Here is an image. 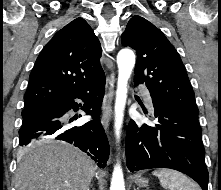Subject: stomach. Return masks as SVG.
<instances>
[{
  "instance_id": "0dacf381",
  "label": "stomach",
  "mask_w": 221,
  "mask_h": 190,
  "mask_svg": "<svg viewBox=\"0 0 221 190\" xmlns=\"http://www.w3.org/2000/svg\"><path fill=\"white\" fill-rule=\"evenodd\" d=\"M135 183L140 187H146L148 185V180L142 177H137Z\"/></svg>"
}]
</instances>
